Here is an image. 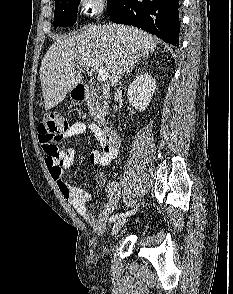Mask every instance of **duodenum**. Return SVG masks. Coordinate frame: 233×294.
Listing matches in <instances>:
<instances>
[{
	"label": "duodenum",
	"instance_id": "obj_1",
	"mask_svg": "<svg viewBox=\"0 0 233 294\" xmlns=\"http://www.w3.org/2000/svg\"><path fill=\"white\" fill-rule=\"evenodd\" d=\"M74 95L77 100L84 101L90 95V90L84 85H78L74 90ZM104 138L111 144H116L119 141L118 134L116 131L110 127L109 125L105 124L102 129Z\"/></svg>",
	"mask_w": 233,
	"mask_h": 294
}]
</instances>
